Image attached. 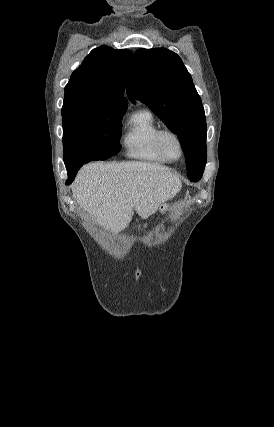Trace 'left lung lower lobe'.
<instances>
[{
    "mask_svg": "<svg viewBox=\"0 0 274 427\" xmlns=\"http://www.w3.org/2000/svg\"><path fill=\"white\" fill-rule=\"evenodd\" d=\"M200 178H201V177H191V176H188V179H189L190 181H193V182L198 181Z\"/></svg>",
    "mask_w": 274,
    "mask_h": 427,
    "instance_id": "obj_1",
    "label": "left lung lower lobe"
}]
</instances>
